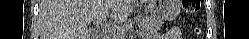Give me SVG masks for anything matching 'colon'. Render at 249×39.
Masks as SVG:
<instances>
[{
    "label": "colon",
    "mask_w": 249,
    "mask_h": 39,
    "mask_svg": "<svg viewBox=\"0 0 249 39\" xmlns=\"http://www.w3.org/2000/svg\"><path fill=\"white\" fill-rule=\"evenodd\" d=\"M200 8V0H184L182 10L186 14H194Z\"/></svg>",
    "instance_id": "obj_1"
}]
</instances>
